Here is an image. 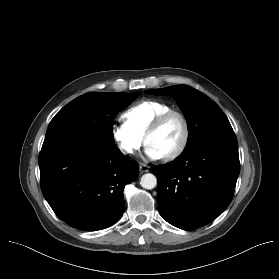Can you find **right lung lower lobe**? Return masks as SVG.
<instances>
[{
    "label": "right lung lower lobe",
    "mask_w": 279,
    "mask_h": 279,
    "mask_svg": "<svg viewBox=\"0 0 279 279\" xmlns=\"http://www.w3.org/2000/svg\"><path fill=\"white\" fill-rule=\"evenodd\" d=\"M39 167L42 193L55 214L84 231L118 221L124 210L123 189L139 171V164L115 145L79 133L45 139Z\"/></svg>",
    "instance_id": "98d812e1"
}]
</instances>
